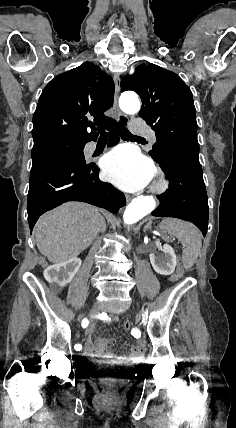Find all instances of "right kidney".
Returning <instances> with one entry per match:
<instances>
[{
    "instance_id": "1",
    "label": "right kidney",
    "mask_w": 236,
    "mask_h": 428,
    "mask_svg": "<svg viewBox=\"0 0 236 428\" xmlns=\"http://www.w3.org/2000/svg\"><path fill=\"white\" fill-rule=\"evenodd\" d=\"M82 262L77 256H73L67 262L61 264H53L44 270V278L49 282L51 291H58L66 284L72 282L75 274H77ZM61 296L60 294L58 295Z\"/></svg>"
}]
</instances>
